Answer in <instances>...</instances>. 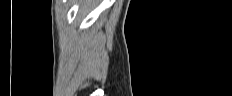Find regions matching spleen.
Masks as SVG:
<instances>
[{"label": "spleen", "mask_w": 232, "mask_h": 96, "mask_svg": "<svg viewBox=\"0 0 232 96\" xmlns=\"http://www.w3.org/2000/svg\"><path fill=\"white\" fill-rule=\"evenodd\" d=\"M89 8V4L88 3H83L81 6V10H85Z\"/></svg>", "instance_id": "3e777b00"}]
</instances>
